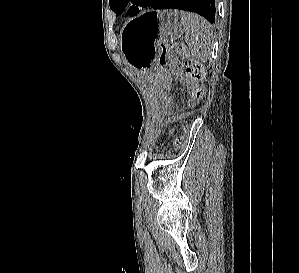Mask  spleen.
Returning <instances> with one entry per match:
<instances>
[{
    "label": "spleen",
    "instance_id": "spleen-1",
    "mask_svg": "<svg viewBox=\"0 0 299 273\" xmlns=\"http://www.w3.org/2000/svg\"><path fill=\"white\" fill-rule=\"evenodd\" d=\"M182 25L185 30V40L189 46L192 57L201 62H206L212 53V26L203 17L181 12Z\"/></svg>",
    "mask_w": 299,
    "mask_h": 273
}]
</instances>
